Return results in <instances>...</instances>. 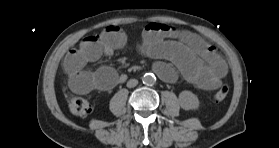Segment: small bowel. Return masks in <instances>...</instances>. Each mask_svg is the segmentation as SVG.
Instances as JSON below:
<instances>
[{
	"mask_svg": "<svg viewBox=\"0 0 279 148\" xmlns=\"http://www.w3.org/2000/svg\"><path fill=\"white\" fill-rule=\"evenodd\" d=\"M126 43L125 31L116 25L108 26L98 35L84 37L63 59L70 88L80 94L114 88L121 79L115 69L102 66L90 72L86 65L103 54L121 49ZM138 50L156 60L153 69L166 82H174L177 74L164 60L174 64L190 84L204 90L218 88L227 74V64L216 48L188 30L150 23L142 31Z\"/></svg>",
	"mask_w": 279,
	"mask_h": 148,
	"instance_id": "1",
	"label": "small bowel"
}]
</instances>
